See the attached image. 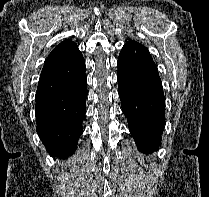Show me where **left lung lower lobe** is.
<instances>
[{"label":"left lung lower lobe","instance_id":"1","mask_svg":"<svg viewBox=\"0 0 209 197\" xmlns=\"http://www.w3.org/2000/svg\"><path fill=\"white\" fill-rule=\"evenodd\" d=\"M118 86L122 111L141 152L159 149L165 123L162 82L148 49L128 41L118 57Z\"/></svg>","mask_w":209,"mask_h":197}]
</instances>
